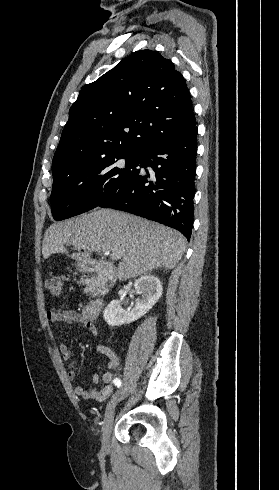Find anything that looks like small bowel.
<instances>
[{"label":"small bowel","mask_w":279,"mask_h":490,"mask_svg":"<svg viewBox=\"0 0 279 490\" xmlns=\"http://www.w3.org/2000/svg\"><path fill=\"white\" fill-rule=\"evenodd\" d=\"M47 321L53 326L59 325L61 323L77 324L82 328L89 330L93 336H98V330L91 320L85 318L82 313L75 310H49L46 313ZM98 353L106 356L109 359L108 370L102 375L101 380L104 383L102 389L90 388L86 389L82 386H76L75 394L86 400H95L97 402L105 401L113 391V383L115 380V374L119 366L118 355L108 346L98 344L96 346ZM59 351L64 360L71 359V350L64 344H59ZM78 375V363L72 362L68 371V378L70 380H75ZM100 377L98 374H94L92 377V382L98 384Z\"/></svg>","instance_id":"c3829d8e"}]
</instances>
